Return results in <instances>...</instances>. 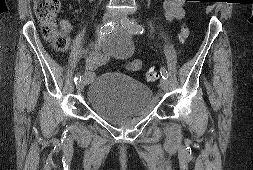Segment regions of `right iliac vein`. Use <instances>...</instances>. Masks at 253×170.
I'll use <instances>...</instances> for the list:
<instances>
[{
	"mask_svg": "<svg viewBox=\"0 0 253 170\" xmlns=\"http://www.w3.org/2000/svg\"><path fill=\"white\" fill-rule=\"evenodd\" d=\"M110 20H111L110 15H109L108 13H105V14L103 15V17H102V23H103V24H106V23H108ZM88 79H89V78H88V75H87V73H85V74L83 75V77H82V80L79 81V82L77 83V85H76V88H77V91H78V92H81V91L83 90L85 84L88 82Z\"/></svg>",
	"mask_w": 253,
	"mask_h": 170,
	"instance_id": "obj_1",
	"label": "right iliac vein"
}]
</instances>
